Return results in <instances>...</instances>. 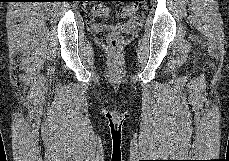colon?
<instances>
[{
    "instance_id": "obj_1",
    "label": "colon",
    "mask_w": 229,
    "mask_h": 161,
    "mask_svg": "<svg viewBox=\"0 0 229 161\" xmlns=\"http://www.w3.org/2000/svg\"><path fill=\"white\" fill-rule=\"evenodd\" d=\"M92 13L97 17L107 16L109 9L106 5L102 3H96L92 7ZM137 13L136 5H127L122 10V15L124 16H134ZM108 46L111 50H118L122 44V38L118 33H112L108 36L107 39Z\"/></svg>"
}]
</instances>
